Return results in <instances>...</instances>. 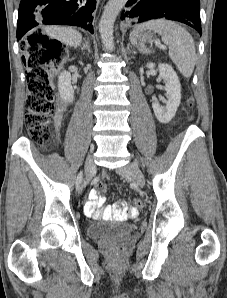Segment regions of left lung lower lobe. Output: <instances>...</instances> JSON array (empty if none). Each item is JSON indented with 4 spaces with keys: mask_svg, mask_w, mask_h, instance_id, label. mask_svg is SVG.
Segmentation results:
<instances>
[{
    "mask_svg": "<svg viewBox=\"0 0 227 298\" xmlns=\"http://www.w3.org/2000/svg\"><path fill=\"white\" fill-rule=\"evenodd\" d=\"M126 7L122 20L128 25L163 18L185 23L200 34L202 32L199 0H128Z\"/></svg>",
    "mask_w": 227,
    "mask_h": 298,
    "instance_id": "0a47b994",
    "label": "left lung lower lobe"
}]
</instances>
